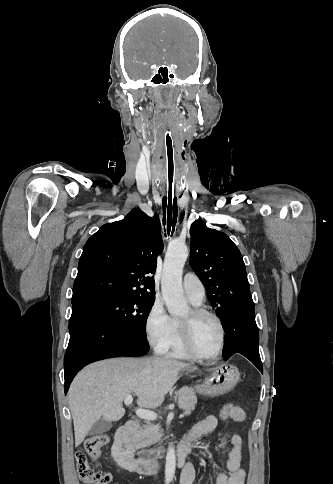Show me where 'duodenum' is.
Masks as SVG:
<instances>
[{
  "instance_id": "410a0bca",
  "label": "duodenum",
  "mask_w": 333,
  "mask_h": 484,
  "mask_svg": "<svg viewBox=\"0 0 333 484\" xmlns=\"http://www.w3.org/2000/svg\"><path fill=\"white\" fill-rule=\"evenodd\" d=\"M138 428V422L134 420L126 421L115 434L113 452L125 469L141 475H151L156 473L161 466L153 459L143 456L134 457V452L139 447L134 437ZM190 451L191 444L183 440L175 452L177 466L184 468L187 465Z\"/></svg>"
}]
</instances>
